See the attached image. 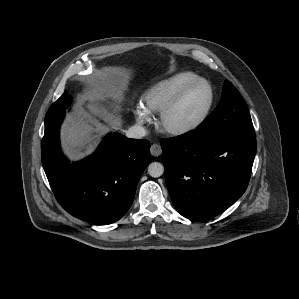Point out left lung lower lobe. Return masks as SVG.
I'll list each match as a JSON object with an SVG mask.
<instances>
[{
  "label": "left lung lower lobe",
  "mask_w": 299,
  "mask_h": 299,
  "mask_svg": "<svg viewBox=\"0 0 299 299\" xmlns=\"http://www.w3.org/2000/svg\"><path fill=\"white\" fill-rule=\"evenodd\" d=\"M160 143L167 188L182 216L212 218L245 192L256 154L254 132L208 134L194 130Z\"/></svg>",
  "instance_id": "1"
}]
</instances>
